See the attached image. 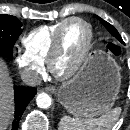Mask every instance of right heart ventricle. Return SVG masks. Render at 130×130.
Here are the masks:
<instances>
[{"label":"right heart ventricle","mask_w":130,"mask_h":130,"mask_svg":"<svg viewBox=\"0 0 130 130\" xmlns=\"http://www.w3.org/2000/svg\"><path fill=\"white\" fill-rule=\"evenodd\" d=\"M66 20L37 27L26 34L22 38L26 52L35 59L42 62L47 61L55 35Z\"/></svg>","instance_id":"obj_1"}]
</instances>
